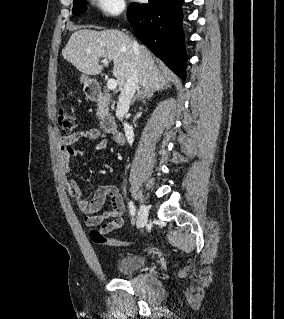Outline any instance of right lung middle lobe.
<instances>
[{
    "mask_svg": "<svg viewBox=\"0 0 284 319\" xmlns=\"http://www.w3.org/2000/svg\"><path fill=\"white\" fill-rule=\"evenodd\" d=\"M85 1L86 0H74L73 14L77 15L86 10Z\"/></svg>",
    "mask_w": 284,
    "mask_h": 319,
    "instance_id": "obj_1",
    "label": "right lung middle lobe"
}]
</instances>
